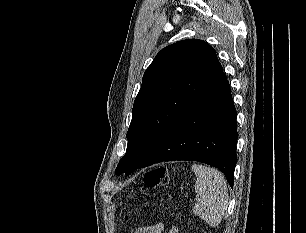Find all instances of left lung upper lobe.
I'll use <instances>...</instances> for the list:
<instances>
[{
  "label": "left lung upper lobe",
  "mask_w": 306,
  "mask_h": 233,
  "mask_svg": "<svg viewBox=\"0 0 306 233\" xmlns=\"http://www.w3.org/2000/svg\"><path fill=\"white\" fill-rule=\"evenodd\" d=\"M214 49L187 39L156 55L142 79L127 132V152L115 170L130 174L151 156L167 133L221 74Z\"/></svg>",
  "instance_id": "1"
}]
</instances>
